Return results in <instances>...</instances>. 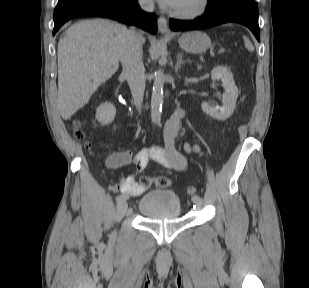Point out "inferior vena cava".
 Returning a JSON list of instances; mask_svg holds the SVG:
<instances>
[{"label": "inferior vena cava", "mask_w": 309, "mask_h": 288, "mask_svg": "<svg viewBox=\"0 0 309 288\" xmlns=\"http://www.w3.org/2000/svg\"><path fill=\"white\" fill-rule=\"evenodd\" d=\"M140 6L148 11L154 10L153 0H139ZM143 38L134 30H129L127 40L121 50V63L123 71L131 89L135 106L140 110L145 91L144 65L142 61Z\"/></svg>", "instance_id": "inferior-vena-cava-1"}]
</instances>
